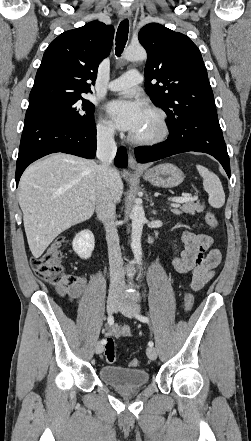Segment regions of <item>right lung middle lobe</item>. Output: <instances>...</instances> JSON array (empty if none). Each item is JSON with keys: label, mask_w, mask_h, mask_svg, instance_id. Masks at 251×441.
Returning a JSON list of instances; mask_svg holds the SVG:
<instances>
[{"label": "right lung middle lobe", "mask_w": 251, "mask_h": 441, "mask_svg": "<svg viewBox=\"0 0 251 441\" xmlns=\"http://www.w3.org/2000/svg\"><path fill=\"white\" fill-rule=\"evenodd\" d=\"M94 105L82 95H58L29 102L28 112L48 115L77 127L94 124Z\"/></svg>", "instance_id": "dd1d6c3e"}]
</instances>
